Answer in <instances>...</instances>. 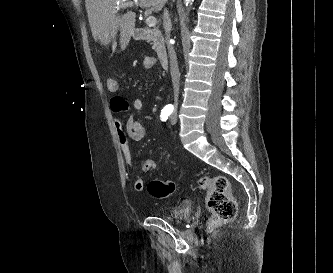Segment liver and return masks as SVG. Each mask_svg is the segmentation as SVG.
<instances>
[{"mask_svg": "<svg viewBox=\"0 0 333 273\" xmlns=\"http://www.w3.org/2000/svg\"><path fill=\"white\" fill-rule=\"evenodd\" d=\"M127 1V0H126ZM167 0H138L141 8L151 7L159 12ZM122 0H85L92 35L101 45L107 46L120 31V47L125 50L135 28L136 14L129 11L118 15L116 6Z\"/></svg>", "mask_w": 333, "mask_h": 273, "instance_id": "obj_1", "label": "liver"}]
</instances>
